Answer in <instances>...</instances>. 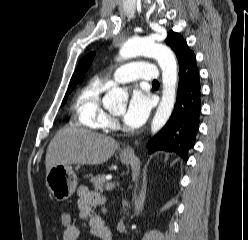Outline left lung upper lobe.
<instances>
[{
	"label": "left lung upper lobe",
	"mask_w": 248,
	"mask_h": 240,
	"mask_svg": "<svg viewBox=\"0 0 248 240\" xmlns=\"http://www.w3.org/2000/svg\"><path fill=\"white\" fill-rule=\"evenodd\" d=\"M166 45H168L176 54L179 67L183 65L186 59L193 54L187 45L186 40L177 32L172 30L168 31V36L165 39Z\"/></svg>",
	"instance_id": "5c2ea615"
}]
</instances>
